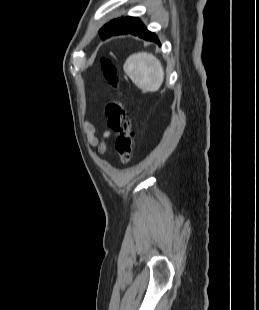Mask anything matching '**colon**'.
I'll return each instance as SVG.
<instances>
[{"mask_svg": "<svg viewBox=\"0 0 259 310\" xmlns=\"http://www.w3.org/2000/svg\"><path fill=\"white\" fill-rule=\"evenodd\" d=\"M102 70L105 78L116 89L119 88L116 67L108 60L102 62ZM107 126L110 131L116 134L115 148L123 164L131 161L133 153L134 132L131 128V122L127 114V109L122 99L109 101L105 108Z\"/></svg>", "mask_w": 259, "mask_h": 310, "instance_id": "obj_1", "label": "colon"}]
</instances>
